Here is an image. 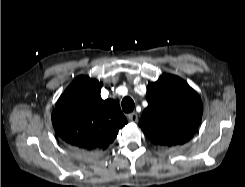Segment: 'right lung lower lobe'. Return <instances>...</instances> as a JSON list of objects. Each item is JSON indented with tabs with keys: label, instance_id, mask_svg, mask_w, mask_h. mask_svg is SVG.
I'll return each mask as SVG.
<instances>
[{
	"label": "right lung lower lobe",
	"instance_id": "obj_1",
	"mask_svg": "<svg viewBox=\"0 0 245 187\" xmlns=\"http://www.w3.org/2000/svg\"><path fill=\"white\" fill-rule=\"evenodd\" d=\"M74 149L77 150V151H79V152H81V153H84V154L89 153L88 151L80 150V149H77V148H74Z\"/></svg>",
	"mask_w": 245,
	"mask_h": 187
}]
</instances>
